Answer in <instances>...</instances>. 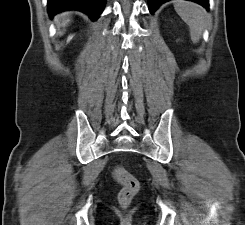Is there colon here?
<instances>
[{
	"mask_svg": "<svg viewBox=\"0 0 245 225\" xmlns=\"http://www.w3.org/2000/svg\"><path fill=\"white\" fill-rule=\"evenodd\" d=\"M113 176L116 182L122 187L118 194V202L120 206L125 208L131 204L135 196L139 193L140 184L138 180L121 165L115 167Z\"/></svg>",
	"mask_w": 245,
	"mask_h": 225,
	"instance_id": "5ec220e1",
	"label": "colon"
}]
</instances>
